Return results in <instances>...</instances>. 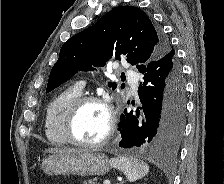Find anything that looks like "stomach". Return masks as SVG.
I'll return each instance as SVG.
<instances>
[{"instance_id":"obj_1","label":"stomach","mask_w":224,"mask_h":184,"mask_svg":"<svg viewBox=\"0 0 224 184\" xmlns=\"http://www.w3.org/2000/svg\"><path fill=\"white\" fill-rule=\"evenodd\" d=\"M41 169L47 175H104L111 169L108 158L103 153L77 151L57 154L42 161Z\"/></svg>"}]
</instances>
